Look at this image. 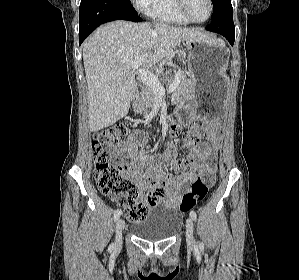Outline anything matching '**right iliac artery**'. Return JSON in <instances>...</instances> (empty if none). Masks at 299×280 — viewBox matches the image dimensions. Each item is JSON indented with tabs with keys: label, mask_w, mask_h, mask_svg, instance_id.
<instances>
[{
	"label": "right iliac artery",
	"mask_w": 299,
	"mask_h": 280,
	"mask_svg": "<svg viewBox=\"0 0 299 280\" xmlns=\"http://www.w3.org/2000/svg\"><path fill=\"white\" fill-rule=\"evenodd\" d=\"M121 214H122L121 209H117V210L115 211V213H114V220H115V221L118 220L119 217L121 216ZM111 248H113V245L110 246V249H111Z\"/></svg>",
	"instance_id": "right-iliac-artery-1"
}]
</instances>
